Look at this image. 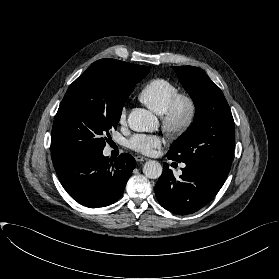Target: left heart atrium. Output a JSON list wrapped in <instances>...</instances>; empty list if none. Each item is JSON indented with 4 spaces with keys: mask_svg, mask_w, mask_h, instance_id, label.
<instances>
[{
    "mask_svg": "<svg viewBox=\"0 0 279 279\" xmlns=\"http://www.w3.org/2000/svg\"><path fill=\"white\" fill-rule=\"evenodd\" d=\"M162 144L161 138L157 135L135 134L128 141V147L142 154H151L154 149Z\"/></svg>",
    "mask_w": 279,
    "mask_h": 279,
    "instance_id": "1",
    "label": "left heart atrium"
}]
</instances>
